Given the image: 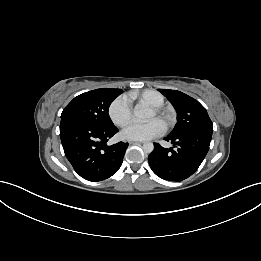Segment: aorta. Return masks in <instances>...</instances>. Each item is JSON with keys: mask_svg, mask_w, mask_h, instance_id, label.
I'll return each instance as SVG.
<instances>
[{"mask_svg": "<svg viewBox=\"0 0 261 261\" xmlns=\"http://www.w3.org/2000/svg\"><path fill=\"white\" fill-rule=\"evenodd\" d=\"M148 116H149V112L141 107H136L133 113V117L137 121L144 120ZM142 148L145 153H151L154 150V145L151 142H146L143 144Z\"/></svg>", "mask_w": 261, "mask_h": 261, "instance_id": "762f6f07", "label": "aorta"}]
</instances>
